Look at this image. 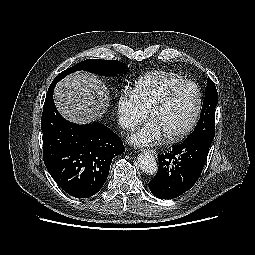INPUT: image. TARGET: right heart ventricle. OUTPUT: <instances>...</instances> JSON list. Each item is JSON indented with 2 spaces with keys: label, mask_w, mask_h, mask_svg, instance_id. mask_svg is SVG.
Listing matches in <instances>:
<instances>
[{
  "label": "right heart ventricle",
  "mask_w": 255,
  "mask_h": 255,
  "mask_svg": "<svg viewBox=\"0 0 255 255\" xmlns=\"http://www.w3.org/2000/svg\"><path fill=\"white\" fill-rule=\"evenodd\" d=\"M183 81L184 78L174 73L152 72L135 82L133 92L141 107L148 113L167 91Z\"/></svg>",
  "instance_id": "right-heart-ventricle-1"
}]
</instances>
